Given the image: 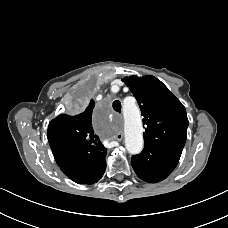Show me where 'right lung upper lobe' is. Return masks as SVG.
<instances>
[{
    "label": "right lung upper lobe",
    "mask_w": 228,
    "mask_h": 228,
    "mask_svg": "<svg viewBox=\"0 0 228 228\" xmlns=\"http://www.w3.org/2000/svg\"><path fill=\"white\" fill-rule=\"evenodd\" d=\"M93 99L87 107L74 116L61 114L48 126V141L53 152L69 150L73 147H90L93 150H105L99 137L94 133L92 112Z\"/></svg>",
    "instance_id": "cb5924a9"
}]
</instances>
